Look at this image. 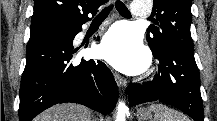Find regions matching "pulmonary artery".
Segmentation results:
<instances>
[{
  "mask_svg": "<svg viewBox=\"0 0 217 121\" xmlns=\"http://www.w3.org/2000/svg\"><path fill=\"white\" fill-rule=\"evenodd\" d=\"M131 13L135 18H146L149 16L150 7L143 2H135L131 4Z\"/></svg>",
  "mask_w": 217,
  "mask_h": 121,
  "instance_id": "1",
  "label": "pulmonary artery"
}]
</instances>
